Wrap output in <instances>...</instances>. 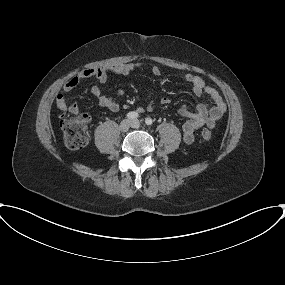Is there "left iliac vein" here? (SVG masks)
Listing matches in <instances>:
<instances>
[{"mask_svg": "<svg viewBox=\"0 0 285 285\" xmlns=\"http://www.w3.org/2000/svg\"><path fill=\"white\" fill-rule=\"evenodd\" d=\"M131 127H133V128H139V127H140V122H139V120H132V121H131Z\"/></svg>", "mask_w": 285, "mask_h": 285, "instance_id": "left-iliac-vein-1", "label": "left iliac vein"}]
</instances>
